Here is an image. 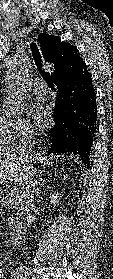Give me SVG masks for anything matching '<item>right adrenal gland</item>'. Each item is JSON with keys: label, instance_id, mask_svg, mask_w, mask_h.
<instances>
[{"label": "right adrenal gland", "instance_id": "obj_1", "mask_svg": "<svg viewBox=\"0 0 113 279\" xmlns=\"http://www.w3.org/2000/svg\"><path fill=\"white\" fill-rule=\"evenodd\" d=\"M39 177H40V175H39ZM40 181H42V179L38 178L37 185H36L37 187H36V190H35L37 195L39 194V185H42V183Z\"/></svg>", "mask_w": 113, "mask_h": 279}]
</instances>
